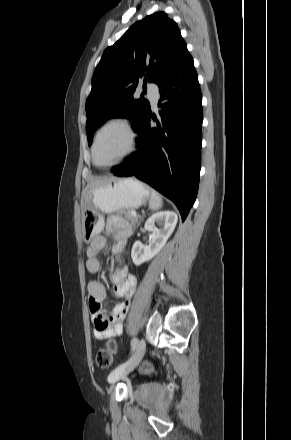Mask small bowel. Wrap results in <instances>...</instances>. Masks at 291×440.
I'll return each instance as SVG.
<instances>
[{"mask_svg": "<svg viewBox=\"0 0 291 440\" xmlns=\"http://www.w3.org/2000/svg\"><path fill=\"white\" fill-rule=\"evenodd\" d=\"M106 231L110 235L113 251L116 255L122 253V247L130 236V225L122 219L110 218L107 222ZM107 238L105 236L96 237L86 250V268L88 271L96 273L100 271L101 265L98 255L105 248ZM127 268L120 267L113 275V292L117 297L123 298L114 309L102 310L100 302L106 295L105 286L99 281H92L87 285L90 299V312L94 317V336L98 340H107L121 333L122 322L130 305V300L135 292L136 278L127 276ZM145 372H155L156 364L149 363L142 367Z\"/></svg>", "mask_w": 291, "mask_h": 440, "instance_id": "small-bowel-1", "label": "small bowel"}]
</instances>
